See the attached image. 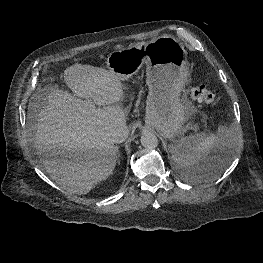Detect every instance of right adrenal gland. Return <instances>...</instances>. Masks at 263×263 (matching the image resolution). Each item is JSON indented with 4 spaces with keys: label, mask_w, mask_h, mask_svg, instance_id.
Wrapping results in <instances>:
<instances>
[{
    "label": "right adrenal gland",
    "mask_w": 263,
    "mask_h": 263,
    "mask_svg": "<svg viewBox=\"0 0 263 263\" xmlns=\"http://www.w3.org/2000/svg\"><path fill=\"white\" fill-rule=\"evenodd\" d=\"M117 153H118L117 159H118V164H119V163H120V151H119V147H117Z\"/></svg>",
    "instance_id": "1"
}]
</instances>
